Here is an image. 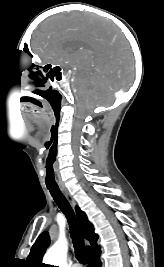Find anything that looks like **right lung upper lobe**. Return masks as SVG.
Returning a JSON list of instances; mask_svg holds the SVG:
<instances>
[{"instance_id": "cb5924a9", "label": "right lung upper lobe", "mask_w": 164, "mask_h": 267, "mask_svg": "<svg viewBox=\"0 0 164 267\" xmlns=\"http://www.w3.org/2000/svg\"><path fill=\"white\" fill-rule=\"evenodd\" d=\"M76 213L80 224L82 226L85 238L90 242L91 246L86 247L87 256L99 251L100 247L97 245L98 235L94 233L93 225L89 222L86 214L76 206ZM50 244V237L47 231H44L39 235L34 245L32 246L31 252L27 258V263L30 267H42V257Z\"/></svg>"}]
</instances>
